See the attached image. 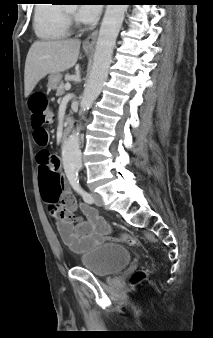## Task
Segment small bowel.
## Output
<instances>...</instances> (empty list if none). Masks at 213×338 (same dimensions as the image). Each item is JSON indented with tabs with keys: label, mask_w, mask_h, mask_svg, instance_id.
<instances>
[{
	"label": "small bowel",
	"mask_w": 213,
	"mask_h": 338,
	"mask_svg": "<svg viewBox=\"0 0 213 338\" xmlns=\"http://www.w3.org/2000/svg\"><path fill=\"white\" fill-rule=\"evenodd\" d=\"M43 154L46 158V166L54 170V167L58 166V159L47 151H44ZM43 173V170L39 173L40 185L43 190L49 193ZM53 178L56 188L59 186L65 191L64 217L58 219L57 228L63 242L69 249L77 254L86 253L108 240L109 227L104 219L98 215L96 209L86 203L77 205L76 199L70 192L69 185L61 173L54 171ZM77 209L81 211L83 218L77 217L74 221L65 218L67 214L76 213Z\"/></svg>",
	"instance_id": "small-bowel-1"
}]
</instances>
